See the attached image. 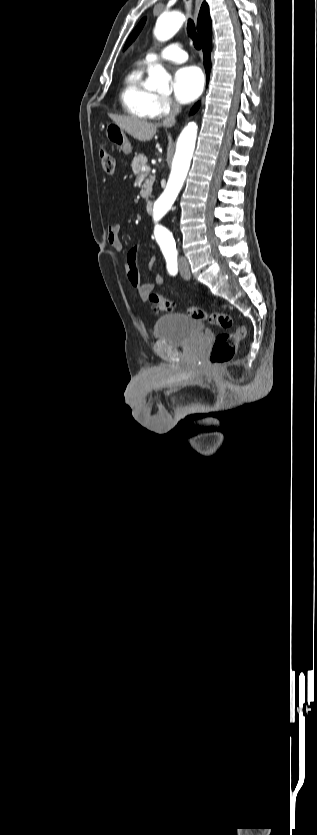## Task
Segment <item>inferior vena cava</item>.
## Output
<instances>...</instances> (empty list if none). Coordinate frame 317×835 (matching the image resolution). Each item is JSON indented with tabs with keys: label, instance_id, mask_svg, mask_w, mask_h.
<instances>
[{
	"label": "inferior vena cava",
	"instance_id": "1",
	"mask_svg": "<svg viewBox=\"0 0 317 835\" xmlns=\"http://www.w3.org/2000/svg\"><path fill=\"white\" fill-rule=\"evenodd\" d=\"M180 111L181 106L179 104H173L170 115L168 117H165V119L162 122V125L166 127L173 126L176 123L175 117Z\"/></svg>",
	"mask_w": 317,
	"mask_h": 835
}]
</instances>
